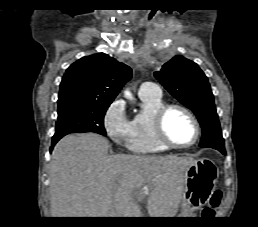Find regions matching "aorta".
<instances>
[{"label": "aorta", "mask_w": 258, "mask_h": 227, "mask_svg": "<svg viewBox=\"0 0 258 227\" xmlns=\"http://www.w3.org/2000/svg\"><path fill=\"white\" fill-rule=\"evenodd\" d=\"M125 96L131 97V93L129 91H125Z\"/></svg>", "instance_id": "obj_1"}]
</instances>
